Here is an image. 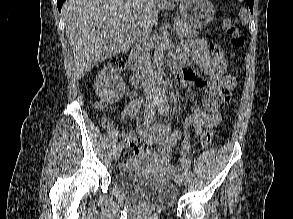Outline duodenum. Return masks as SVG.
Listing matches in <instances>:
<instances>
[{
  "instance_id": "410a0bca",
  "label": "duodenum",
  "mask_w": 293,
  "mask_h": 219,
  "mask_svg": "<svg viewBox=\"0 0 293 219\" xmlns=\"http://www.w3.org/2000/svg\"><path fill=\"white\" fill-rule=\"evenodd\" d=\"M140 50V43H135L129 59V67L133 71L130 81L134 87H140L142 83V61ZM170 67L173 73L178 74L180 72V65L177 61H172Z\"/></svg>"
}]
</instances>
